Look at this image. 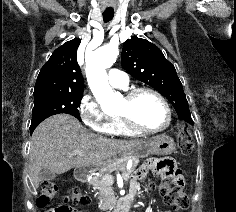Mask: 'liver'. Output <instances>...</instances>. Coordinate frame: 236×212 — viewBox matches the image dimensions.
Listing matches in <instances>:
<instances>
[{
    "mask_svg": "<svg viewBox=\"0 0 236 212\" xmlns=\"http://www.w3.org/2000/svg\"><path fill=\"white\" fill-rule=\"evenodd\" d=\"M141 140H114L88 132L71 115L58 114L35 129L29 154L30 182L39 187V174L46 168L62 174L73 167H101L117 155H125ZM81 155H72L73 151Z\"/></svg>",
    "mask_w": 236,
    "mask_h": 212,
    "instance_id": "obj_1",
    "label": "liver"
}]
</instances>
